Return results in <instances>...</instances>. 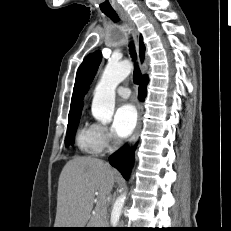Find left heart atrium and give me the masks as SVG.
<instances>
[{"instance_id": "39dd6f15", "label": "left heart atrium", "mask_w": 231, "mask_h": 231, "mask_svg": "<svg viewBox=\"0 0 231 231\" xmlns=\"http://www.w3.org/2000/svg\"><path fill=\"white\" fill-rule=\"evenodd\" d=\"M137 111L130 103L122 104L115 112L113 130L120 138L128 137L137 124Z\"/></svg>"}]
</instances>
